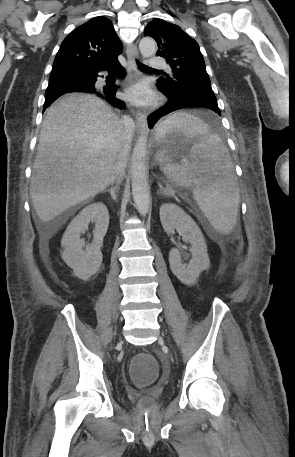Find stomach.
<instances>
[{
  "label": "stomach",
  "instance_id": "1",
  "mask_svg": "<svg viewBox=\"0 0 295 457\" xmlns=\"http://www.w3.org/2000/svg\"><path fill=\"white\" fill-rule=\"evenodd\" d=\"M157 137V131H156ZM161 150L156 154V161L159 163L172 162L176 156V151L182 147L195 145L200 142L201 136L198 134H186L183 130L173 129L164 133L160 138L156 139Z\"/></svg>",
  "mask_w": 295,
  "mask_h": 457
}]
</instances>
